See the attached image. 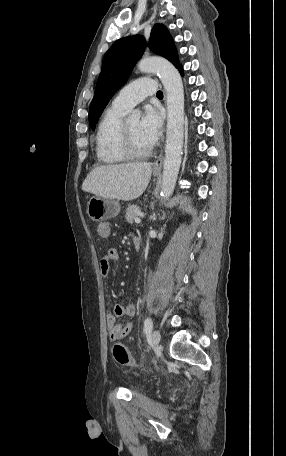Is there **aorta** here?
Returning <instances> with one entry per match:
<instances>
[{"instance_id":"obj_1","label":"aorta","mask_w":286,"mask_h":456,"mask_svg":"<svg viewBox=\"0 0 286 456\" xmlns=\"http://www.w3.org/2000/svg\"><path fill=\"white\" fill-rule=\"evenodd\" d=\"M142 73H157L167 95V133L163 162L161 195L168 199L177 181L184 139V88L178 70L166 59L143 58L137 65ZM140 111H133L129 120L138 121Z\"/></svg>"}]
</instances>
